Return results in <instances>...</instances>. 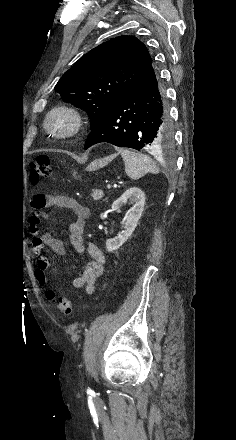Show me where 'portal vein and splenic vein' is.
I'll use <instances>...</instances> for the list:
<instances>
[{"instance_id": "portal-vein-and-splenic-vein-1", "label": "portal vein and splenic vein", "mask_w": 236, "mask_h": 440, "mask_svg": "<svg viewBox=\"0 0 236 440\" xmlns=\"http://www.w3.org/2000/svg\"><path fill=\"white\" fill-rule=\"evenodd\" d=\"M110 188H111V184H108V185H107V189H110Z\"/></svg>"}]
</instances>
